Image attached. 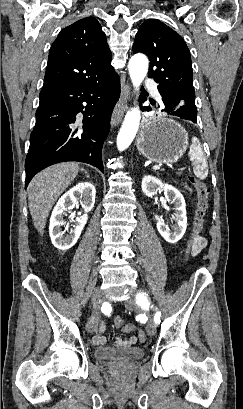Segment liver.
<instances>
[{
	"instance_id": "6515ba94",
	"label": "liver",
	"mask_w": 243,
	"mask_h": 409,
	"mask_svg": "<svg viewBox=\"0 0 243 409\" xmlns=\"http://www.w3.org/2000/svg\"><path fill=\"white\" fill-rule=\"evenodd\" d=\"M77 163L66 162L53 165L39 172L28 187V204L35 228L43 236L49 212L71 182L78 175Z\"/></svg>"
}]
</instances>
